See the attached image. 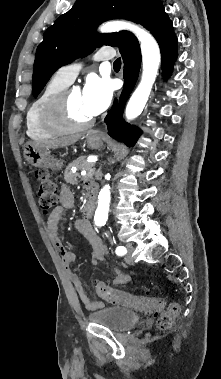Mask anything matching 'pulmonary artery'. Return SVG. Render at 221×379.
<instances>
[{"mask_svg":"<svg viewBox=\"0 0 221 379\" xmlns=\"http://www.w3.org/2000/svg\"><path fill=\"white\" fill-rule=\"evenodd\" d=\"M114 56H115V52L113 49L102 48L95 53L94 60L96 61L109 60V59H112ZM80 69H81V64H78V63L69 64V65L59 68L58 71L56 72V75L60 79L70 84L75 80Z\"/></svg>","mask_w":221,"mask_h":379,"instance_id":"obj_1","label":"pulmonary artery"}]
</instances>
